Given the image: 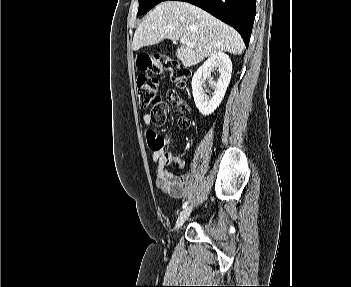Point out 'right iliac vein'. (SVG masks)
<instances>
[{
  "label": "right iliac vein",
  "instance_id": "obj_1",
  "mask_svg": "<svg viewBox=\"0 0 351 287\" xmlns=\"http://www.w3.org/2000/svg\"><path fill=\"white\" fill-rule=\"evenodd\" d=\"M192 211V206L186 207L178 216L176 224H175V231L179 232V230L181 229L182 225L184 224V222L187 220V218L189 217L190 213Z\"/></svg>",
  "mask_w": 351,
  "mask_h": 287
}]
</instances>
